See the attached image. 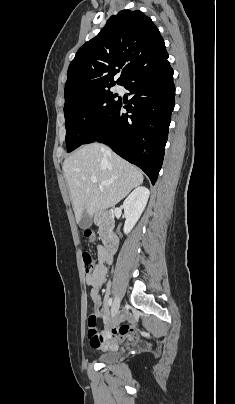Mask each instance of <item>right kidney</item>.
Listing matches in <instances>:
<instances>
[{
  "mask_svg": "<svg viewBox=\"0 0 235 404\" xmlns=\"http://www.w3.org/2000/svg\"><path fill=\"white\" fill-rule=\"evenodd\" d=\"M150 191L146 187H137L123 203L126 217L124 233L128 234L139 220L149 199Z\"/></svg>",
  "mask_w": 235,
  "mask_h": 404,
  "instance_id": "right-kidney-1",
  "label": "right kidney"
}]
</instances>
